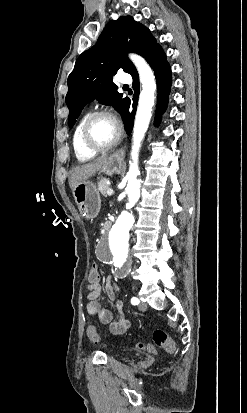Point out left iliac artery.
<instances>
[{"label":"left iliac artery","mask_w":247,"mask_h":413,"mask_svg":"<svg viewBox=\"0 0 247 413\" xmlns=\"http://www.w3.org/2000/svg\"><path fill=\"white\" fill-rule=\"evenodd\" d=\"M139 302H140L139 299L136 298V297H133V298L131 299V303H132L133 305H138Z\"/></svg>","instance_id":"1"}]
</instances>
